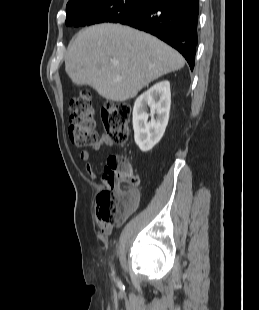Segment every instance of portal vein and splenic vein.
Masks as SVG:
<instances>
[{
    "instance_id": "obj_1",
    "label": "portal vein and splenic vein",
    "mask_w": 259,
    "mask_h": 310,
    "mask_svg": "<svg viewBox=\"0 0 259 310\" xmlns=\"http://www.w3.org/2000/svg\"><path fill=\"white\" fill-rule=\"evenodd\" d=\"M113 65H117V62L113 61Z\"/></svg>"
}]
</instances>
